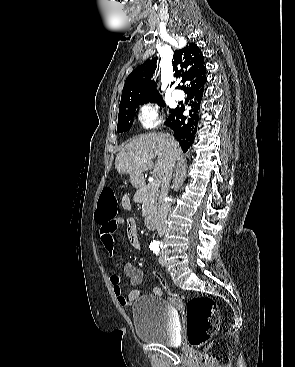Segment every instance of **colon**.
<instances>
[{
    "instance_id": "5ec220e1",
    "label": "colon",
    "mask_w": 295,
    "mask_h": 367,
    "mask_svg": "<svg viewBox=\"0 0 295 367\" xmlns=\"http://www.w3.org/2000/svg\"><path fill=\"white\" fill-rule=\"evenodd\" d=\"M118 203L110 187L101 191L96 220L106 223L116 219ZM163 283L162 278L157 275ZM187 338L193 347H200L213 337L219 328V309L216 302L207 296H194L186 306Z\"/></svg>"
}]
</instances>
